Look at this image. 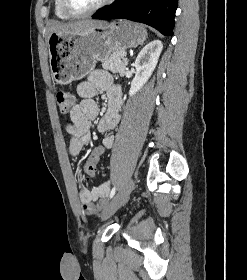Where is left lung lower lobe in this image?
Instances as JSON below:
<instances>
[{
  "instance_id": "left-lung-lower-lobe-1",
  "label": "left lung lower lobe",
  "mask_w": 247,
  "mask_h": 280,
  "mask_svg": "<svg viewBox=\"0 0 247 280\" xmlns=\"http://www.w3.org/2000/svg\"><path fill=\"white\" fill-rule=\"evenodd\" d=\"M177 0H115L94 19H129L150 25L163 35H173Z\"/></svg>"
}]
</instances>
